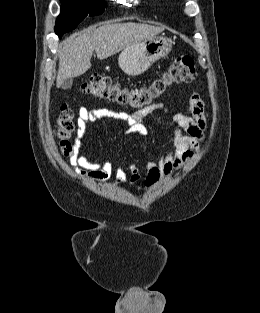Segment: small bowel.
<instances>
[{
	"label": "small bowel",
	"instance_id": "small-bowel-1",
	"mask_svg": "<svg viewBox=\"0 0 260 313\" xmlns=\"http://www.w3.org/2000/svg\"><path fill=\"white\" fill-rule=\"evenodd\" d=\"M156 110L166 111V108L163 105H155L146 110L126 113L104 108L91 110L81 107L77 118L74 154L70 162L75 174L94 182L105 181L114 175L115 186H121L126 182L129 184L138 183L141 176L140 167L136 163H130V176L127 177L125 170L121 166H115L111 160L90 161L81 151L82 139L87 132L89 123L103 119L122 121L127 124L130 133L148 137L150 131L144 121ZM169 116L174 128L172 143L158 160H145V187L147 189L153 188L160 180L186 164L196 154L204 137L206 118L204 102L199 94L193 93L190 96L185 112H175Z\"/></svg>",
	"mask_w": 260,
	"mask_h": 313
}]
</instances>
